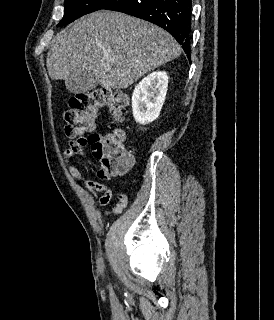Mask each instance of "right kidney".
<instances>
[{
    "mask_svg": "<svg viewBox=\"0 0 274 320\" xmlns=\"http://www.w3.org/2000/svg\"><path fill=\"white\" fill-rule=\"evenodd\" d=\"M167 88V72H152L135 86L131 100L137 124L145 126L157 120L165 102Z\"/></svg>",
    "mask_w": 274,
    "mask_h": 320,
    "instance_id": "right-kidney-1",
    "label": "right kidney"
}]
</instances>
